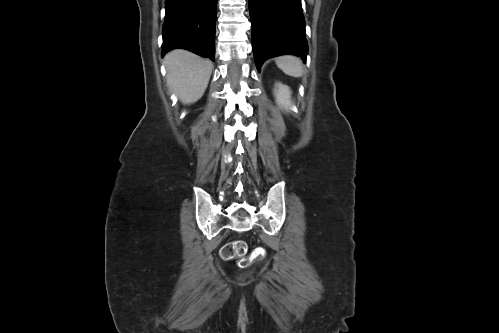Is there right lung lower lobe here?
Segmentation results:
<instances>
[{"label":"right lung lower lobe","instance_id":"98d812e1","mask_svg":"<svg viewBox=\"0 0 499 333\" xmlns=\"http://www.w3.org/2000/svg\"><path fill=\"white\" fill-rule=\"evenodd\" d=\"M217 0H166L162 56L187 49L214 61Z\"/></svg>","mask_w":499,"mask_h":333}]
</instances>
